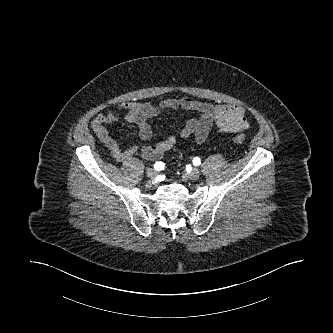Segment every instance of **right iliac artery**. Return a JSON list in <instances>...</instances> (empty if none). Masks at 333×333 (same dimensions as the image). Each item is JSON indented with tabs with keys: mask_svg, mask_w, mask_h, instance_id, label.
Returning <instances> with one entry per match:
<instances>
[{
	"mask_svg": "<svg viewBox=\"0 0 333 333\" xmlns=\"http://www.w3.org/2000/svg\"><path fill=\"white\" fill-rule=\"evenodd\" d=\"M154 169L157 171L163 170L164 169V164L162 162H156L154 164Z\"/></svg>",
	"mask_w": 333,
	"mask_h": 333,
	"instance_id": "obj_1",
	"label": "right iliac artery"
}]
</instances>
